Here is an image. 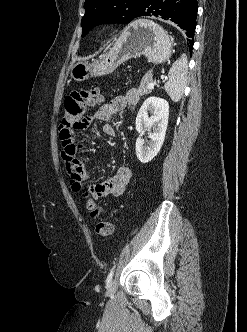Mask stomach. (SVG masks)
<instances>
[{
  "instance_id": "obj_1",
  "label": "stomach",
  "mask_w": 247,
  "mask_h": 332,
  "mask_svg": "<svg viewBox=\"0 0 247 332\" xmlns=\"http://www.w3.org/2000/svg\"><path fill=\"white\" fill-rule=\"evenodd\" d=\"M145 55L148 62L161 64L172 55V41L167 32L148 19H138L126 27L110 51L92 63L71 65L70 75L76 81L112 73L125 61Z\"/></svg>"
}]
</instances>
